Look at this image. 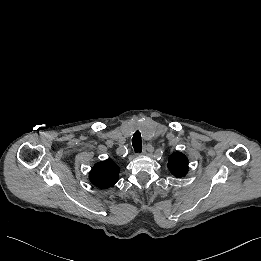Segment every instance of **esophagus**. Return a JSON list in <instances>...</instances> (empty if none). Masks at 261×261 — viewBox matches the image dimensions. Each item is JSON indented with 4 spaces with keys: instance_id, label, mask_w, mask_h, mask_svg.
Instances as JSON below:
<instances>
[{
    "instance_id": "1",
    "label": "esophagus",
    "mask_w": 261,
    "mask_h": 261,
    "mask_svg": "<svg viewBox=\"0 0 261 261\" xmlns=\"http://www.w3.org/2000/svg\"><path fill=\"white\" fill-rule=\"evenodd\" d=\"M146 154H147L146 149H143V151H142V155H146Z\"/></svg>"
}]
</instances>
